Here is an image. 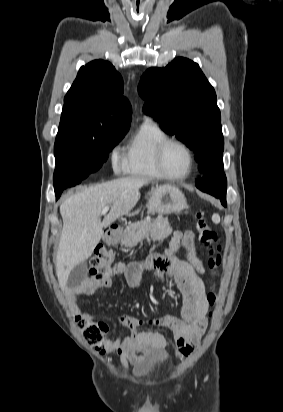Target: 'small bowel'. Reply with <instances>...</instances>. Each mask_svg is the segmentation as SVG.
<instances>
[{
	"label": "small bowel",
	"instance_id": "1",
	"mask_svg": "<svg viewBox=\"0 0 283 412\" xmlns=\"http://www.w3.org/2000/svg\"><path fill=\"white\" fill-rule=\"evenodd\" d=\"M173 241L178 242V248L173 247ZM178 249L184 252V258L181 259L175 255ZM159 256L151 255L147 266L156 269L159 278L167 277L175 283L183 299L182 319L167 317L143 320L133 315H120L119 324L127 331V334L114 339L107 338L105 341L107 351L116 352L123 363H129L137 369L143 367L150 357L164 355L167 346L166 338L161 333L154 331L137 333L136 330L139 327L143 325L167 327L173 334L174 342L178 347V355L184 357L190 354L199 342L208 324L209 303L202 279L205 271L197 255L194 233L185 231L174 235L169 250L166 252V265L162 266L153 262ZM116 276H123L127 284L134 289L142 287L144 282L139 265L122 263L114 274L101 279H87L82 285L71 290L70 294L75 300L76 307L80 308L77 302L79 296L91 297L96 291L109 288ZM80 315L93 319L92 313L88 311H80Z\"/></svg>",
	"mask_w": 283,
	"mask_h": 412
}]
</instances>
